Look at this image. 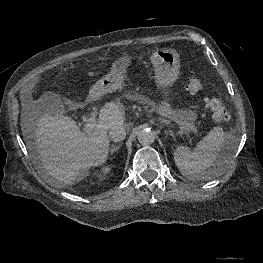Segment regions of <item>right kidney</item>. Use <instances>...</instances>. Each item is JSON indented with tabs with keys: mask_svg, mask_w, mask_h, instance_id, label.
<instances>
[{
	"mask_svg": "<svg viewBox=\"0 0 263 263\" xmlns=\"http://www.w3.org/2000/svg\"><path fill=\"white\" fill-rule=\"evenodd\" d=\"M110 170H111V167H109V166L103 168V174L105 175V174L109 173Z\"/></svg>",
	"mask_w": 263,
	"mask_h": 263,
	"instance_id": "ca27d5eb",
	"label": "right kidney"
}]
</instances>
